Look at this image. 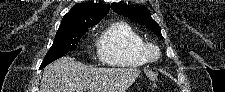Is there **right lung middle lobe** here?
I'll return each mask as SVG.
<instances>
[{
    "mask_svg": "<svg viewBox=\"0 0 225 92\" xmlns=\"http://www.w3.org/2000/svg\"><path fill=\"white\" fill-rule=\"evenodd\" d=\"M98 22L75 28L58 29L53 45L44 57L40 69L44 68L52 61L64 56L67 52L75 50L80 38L87 32L88 28L94 26Z\"/></svg>",
    "mask_w": 225,
    "mask_h": 92,
    "instance_id": "obj_1",
    "label": "right lung middle lobe"
}]
</instances>
